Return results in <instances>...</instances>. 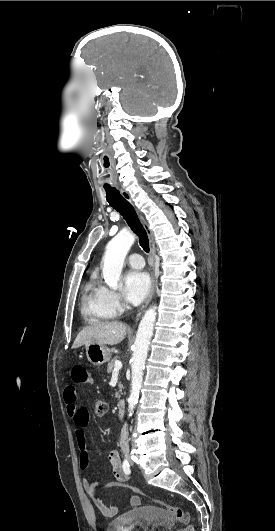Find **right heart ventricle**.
<instances>
[{"mask_svg": "<svg viewBox=\"0 0 275 531\" xmlns=\"http://www.w3.org/2000/svg\"><path fill=\"white\" fill-rule=\"evenodd\" d=\"M82 313L91 322H104L112 317L102 303V289L95 275L83 287Z\"/></svg>", "mask_w": 275, "mask_h": 531, "instance_id": "obj_1", "label": "right heart ventricle"}]
</instances>
